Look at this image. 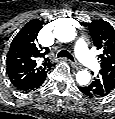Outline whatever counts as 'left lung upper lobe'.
Listing matches in <instances>:
<instances>
[{"label": "left lung upper lobe", "mask_w": 115, "mask_h": 119, "mask_svg": "<svg viewBox=\"0 0 115 119\" xmlns=\"http://www.w3.org/2000/svg\"><path fill=\"white\" fill-rule=\"evenodd\" d=\"M88 28L97 49L102 50L99 55L102 69L100 74L115 80V30L104 20H95L88 24Z\"/></svg>", "instance_id": "1"}]
</instances>
